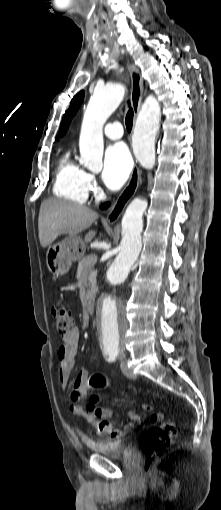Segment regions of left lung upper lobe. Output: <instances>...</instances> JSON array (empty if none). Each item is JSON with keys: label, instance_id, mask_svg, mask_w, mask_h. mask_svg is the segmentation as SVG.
I'll return each instance as SVG.
<instances>
[{"label": "left lung upper lobe", "instance_id": "obj_1", "mask_svg": "<svg viewBox=\"0 0 221 510\" xmlns=\"http://www.w3.org/2000/svg\"><path fill=\"white\" fill-rule=\"evenodd\" d=\"M84 100V91H80L71 101L69 109L64 114L59 135L62 136L68 129L69 124L73 116L76 114L78 108Z\"/></svg>", "mask_w": 221, "mask_h": 510}]
</instances>
